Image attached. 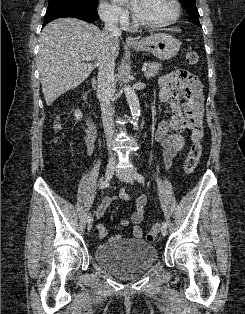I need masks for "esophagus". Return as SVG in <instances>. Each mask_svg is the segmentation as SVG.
Wrapping results in <instances>:
<instances>
[{
  "instance_id": "obj_1",
  "label": "esophagus",
  "mask_w": 245,
  "mask_h": 314,
  "mask_svg": "<svg viewBox=\"0 0 245 314\" xmlns=\"http://www.w3.org/2000/svg\"><path fill=\"white\" fill-rule=\"evenodd\" d=\"M126 43H128V44H134V43H137V40L134 39V38L131 37V36H127V37H126Z\"/></svg>"
}]
</instances>
